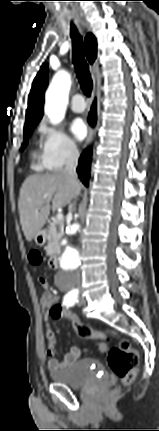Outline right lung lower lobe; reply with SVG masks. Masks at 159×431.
Segmentation results:
<instances>
[{
  "label": "right lung lower lobe",
  "instance_id": "1",
  "mask_svg": "<svg viewBox=\"0 0 159 431\" xmlns=\"http://www.w3.org/2000/svg\"><path fill=\"white\" fill-rule=\"evenodd\" d=\"M96 122V105L92 106L91 112L89 114V123L94 125ZM91 150H85L79 159V165L77 168L78 176L85 186L89 184L90 177V164H91Z\"/></svg>",
  "mask_w": 159,
  "mask_h": 431
}]
</instances>
